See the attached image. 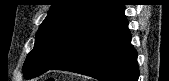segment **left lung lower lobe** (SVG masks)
Here are the masks:
<instances>
[{
    "instance_id": "obj_1",
    "label": "left lung lower lobe",
    "mask_w": 169,
    "mask_h": 81,
    "mask_svg": "<svg viewBox=\"0 0 169 81\" xmlns=\"http://www.w3.org/2000/svg\"><path fill=\"white\" fill-rule=\"evenodd\" d=\"M124 6L117 1L87 25L50 70L71 71L100 81H137V51L131 44Z\"/></svg>"
}]
</instances>
